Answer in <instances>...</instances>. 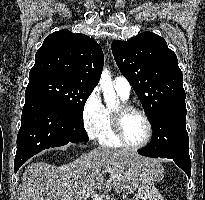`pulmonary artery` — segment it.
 <instances>
[{"instance_id": "obj_1", "label": "pulmonary artery", "mask_w": 205, "mask_h": 200, "mask_svg": "<svg viewBox=\"0 0 205 200\" xmlns=\"http://www.w3.org/2000/svg\"><path fill=\"white\" fill-rule=\"evenodd\" d=\"M113 87L119 95L124 98H128L131 91V86L128 80L124 77H116L113 80Z\"/></svg>"}]
</instances>
